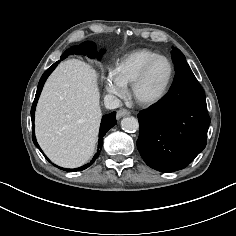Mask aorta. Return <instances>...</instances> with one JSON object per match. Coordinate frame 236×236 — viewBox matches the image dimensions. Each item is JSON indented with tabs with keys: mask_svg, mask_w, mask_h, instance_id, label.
<instances>
[{
	"mask_svg": "<svg viewBox=\"0 0 236 236\" xmlns=\"http://www.w3.org/2000/svg\"><path fill=\"white\" fill-rule=\"evenodd\" d=\"M121 126L127 132H135L139 128V123L135 117H125L121 120Z\"/></svg>",
	"mask_w": 236,
	"mask_h": 236,
	"instance_id": "1",
	"label": "aorta"
}]
</instances>
